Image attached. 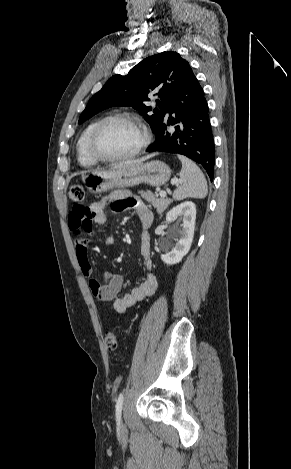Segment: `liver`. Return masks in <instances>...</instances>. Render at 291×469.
I'll use <instances>...</instances> for the list:
<instances>
[{
	"label": "liver",
	"mask_w": 291,
	"mask_h": 469,
	"mask_svg": "<svg viewBox=\"0 0 291 469\" xmlns=\"http://www.w3.org/2000/svg\"><path fill=\"white\" fill-rule=\"evenodd\" d=\"M150 157L151 156H146V157H143V158H140V159L128 160V161H125V162H122L120 164H117V165L113 166L111 169H117V168H121V167H126V166H130V165L139 164V163H142L145 160L149 159Z\"/></svg>",
	"instance_id": "6515ba94"
}]
</instances>
